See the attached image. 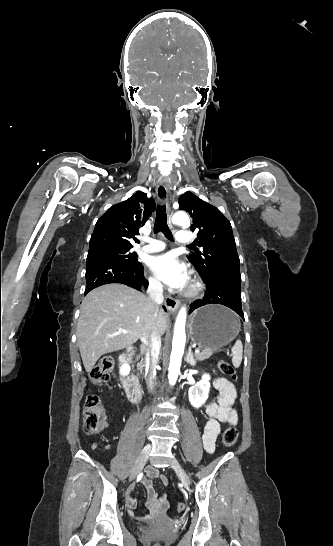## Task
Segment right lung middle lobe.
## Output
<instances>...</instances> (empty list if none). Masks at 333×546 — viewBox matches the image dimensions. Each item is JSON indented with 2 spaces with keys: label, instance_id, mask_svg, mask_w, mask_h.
<instances>
[{
  "label": "right lung middle lobe",
  "instance_id": "1",
  "mask_svg": "<svg viewBox=\"0 0 333 546\" xmlns=\"http://www.w3.org/2000/svg\"><path fill=\"white\" fill-rule=\"evenodd\" d=\"M131 247H104L95 251H90L87 258L92 255L108 256L131 265H139L136 253L130 251Z\"/></svg>",
  "mask_w": 333,
  "mask_h": 546
}]
</instances>
